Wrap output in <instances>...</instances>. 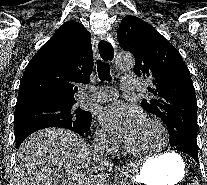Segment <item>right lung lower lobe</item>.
Here are the masks:
<instances>
[{
	"label": "right lung lower lobe",
	"instance_id": "obj_1",
	"mask_svg": "<svg viewBox=\"0 0 207 185\" xmlns=\"http://www.w3.org/2000/svg\"><path fill=\"white\" fill-rule=\"evenodd\" d=\"M90 127H88L86 130H73L74 132L78 133L81 136H84V134L86 132H88ZM29 136V135H28ZM28 136H24L21 137L20 139L16 140V148H19L20 144L28 137Z\"/></svg>",
	"mask_w": 207,
	"mask_h": 185
}]
</instances>
